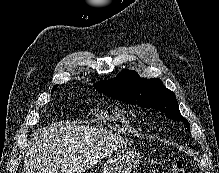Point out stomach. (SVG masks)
I'll use <instances>...</instances> for the list:
<instances>
[{
	"mask_svg": "<svg viewBox=\"0 0 219 173\" xmlns=\"http://www.w3.org/2000/svg\"><path fill=\"white\" fill-rule=\"evenodd\" d=\"M141 155L135 148L122 147L115 151L103 166V173H130L140 164Z\"/></svg>",
	"mask_w": 219,
	"mask_h": 173,
	"instance_id": "0dacf381",
	"label": "stomach"
}]
</instances>
